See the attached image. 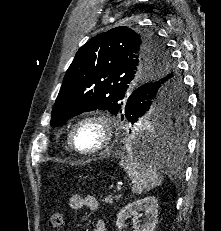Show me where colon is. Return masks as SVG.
<instances>
[{
  "instance_id": "colon-1",
  "label": "colon",
  "mask_w": 221,
  "mask_h": 231,
  "mask_svg": "<svg viewBox=\"0 0 221 231\" xmlns=\"http://www.w3.org/2000/svg\"><path fill=\"white\" fill-rule=\"evenodd\" d=\"M65 223V213L62 209H56L53 211L50 217V226L54 228H60Z\"/></svg>"
}]
</instances>
